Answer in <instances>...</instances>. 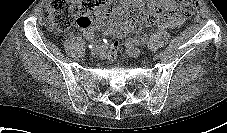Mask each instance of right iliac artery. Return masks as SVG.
<instances>
[{
	"instance_id": "right-iliac-artery-1",
	"label": "right iliac artery",
	"mask_w": 227,
	"mask_h": 133,
	"mask_svg": "<svg viewBox=\"0 0 227 133\" xmlns=\"http://www.w3.org/2000/svg\"><path fill=\"white\" fill-rule=\"evenodd\" d=\"M89 48L90 49H92V48L106 49L107 45H106V43H91L89 45Z\"/></svg>"
}]
</instances>
